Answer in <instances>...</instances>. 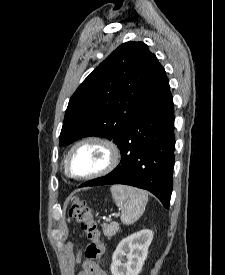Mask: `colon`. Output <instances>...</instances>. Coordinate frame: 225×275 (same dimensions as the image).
I'll use <instances>...</instances> for the list:
<instances>
[{
	"label": "colon",
	"mask_w": 225,
	"mask_h": 275,
	"mask_svg": "<svg viewBox=\"0 0 225 275\" xmlns=\"http://www.w3.org/2000/svg\"><path fill=\"white\" fill-rule=\"evenodd\" d=\"M68 214L80 224L89 242L85 248V257L89 260L100 261L105 252V245L90 206L82 199H75L71 203Z\"/></svg>",
	"instance_id": "5ec220e1"
}]
</instances>
